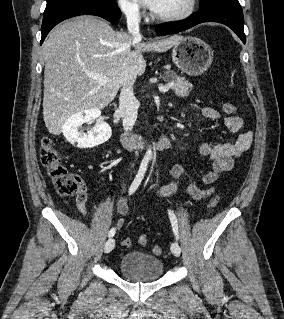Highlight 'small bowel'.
<instances>
[{
	"label": "small bowel",
	"instance_id": "1",
	"mask_svg": "<svg viewBox=\"0 0 284 319\" xmlns=\"http://www.w3.org/2000/svg\"><path fill=\"white\" fill-rule=\"evenodd\" d=\"M202 114L211 120H217L220 118V113L211 107H203L200 109ZM226 128L236 135V139L232 143H220L212 144L209 142L202 143L199 146V152L201 155L206 156L210 163L211 169L206 172L201 177V183L205 185H211L207 189L200 188L196 179L191 177L185 168L176 164L172 167L170 175L172 181L166 186L162 187L156 191L155 195L158 198H167L171 196L176 188L177 183L180 177L186 176L189 178L190 183L188 186V193L194 200H202L211 196L215 187L213 183L223 174L229 172L234 165V159L246 152L252 143V132L251 131H242L243 120L238 116H229L223 118ZM87 189L82 185L77 197H76V206L78 211L82 215L87 214L86 202H87ZM117 210L121 215H126L128 213L129 207L125 197H121L117 203ZM124 223V219H119L116 228L119 230Z\"/></svg>",
	"mask_w": 284,
	"mask_h": 319
}]
</instances>
